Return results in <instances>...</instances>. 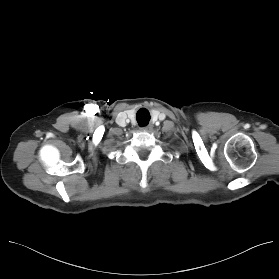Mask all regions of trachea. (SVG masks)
I'll return each instance as SVG.
<instances>
[{
	"instance_id": "3493384b",
	"label": "trachea",
	"mask_w": 279,
	"mask_h": 279,
	"mask_svg": "<svg viewBox=\"0 0 279 279\" xmlns=\"http://www.w3.org/2000/svg\"><path fill=\"white\" fill-rule=\"evenodd\" d=\"M136 119L140 126H146L150 120V114L146 109H140L136 114Z\"/></svg>"
}]
</instances>
